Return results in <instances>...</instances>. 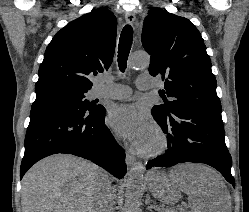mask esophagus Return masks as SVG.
Returning a JSON list of instances; mask_svg holds the SVG:
<instances>
[{
    "label": "esophagus",
    "instance_id": "obj_1",
    "mask_svg": "<svg viewBox=\"0 0 249 212\" xmlns=\"http://www.w3.org/2000/svg\"><path fill=\"white\" fill-rule=\"evenodd\" d=\"M125 20L129 25H133L136 22V17L133 12H127L125 14ZM136 162V158L134 155H131L130 153H126V164L131 167Z\"/></svg>",
    "mask_w": 249,
    "mask_h": 212
}]
</instances>
